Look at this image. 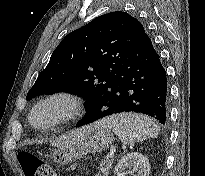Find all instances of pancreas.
Here are the masks:
<instances>
[{
  "instance_id": "1",
  "label": "pancreas",
  "mask_w": 205,
  "mask_h": 176,
  "mask_svg": "<svg viewBox=\"0 0 205 176\" xmlns=\"http://www.w3.org/2000/svg\"><path fill=\"white\" fill-rule=\"evenodd\" d=\"M113 163L114 159L110 158L107 155L105 159L100 163L99 174L95 176H108Z\"/></svg>"
}]
</instances>
